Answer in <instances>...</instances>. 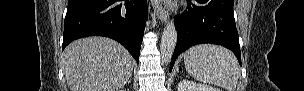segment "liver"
<instances>
[{
  "label": "liver",
  "mask_w": 304,
  "mask_h": 91,
  "mask_svg": "<svg viewBox=\"0 0 304 91\" xmlns=\"http://www.w3.org/2000/svg\"><path fill=\"white\" fill-rule=\"evenodd\" d=\"M70 91H119L132 75L134 60L118 42L104 37L76 40L64 50Z\"/></svg>",
  "instance_id": "1"
}]
</instances>
